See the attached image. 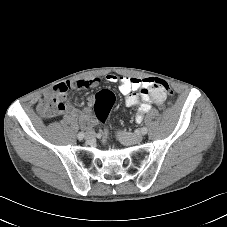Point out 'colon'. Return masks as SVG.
<instances>
[{
  "mask_svg": "<svg viewBox=\"0 0 227 227\" xmlns=\"http://www.w3.org/2000/svg\"><path fill=\"white\" fill-rule=\"evenodd\" d=\"M150 84L152 86L160 85L166 93H172L169 85L157 77H152L150 79ZM114 102L115 96L110 90L104 89L96 94L93 103V111L99 120L102 122L106 120Z\"/></svg>",
  "mask_w": 227,
  "mask_h": 227,
  "instance_id": "1",
  "label": "colon"
}]
</instances>
